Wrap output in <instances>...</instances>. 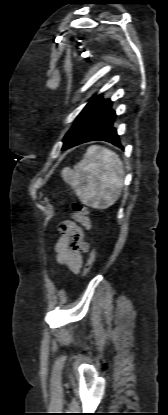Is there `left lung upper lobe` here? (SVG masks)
I'll return each instance as SVG.
<instances>
[{
	"mask_svg": "<svg viewBox=\"0 0 168 415\" xmlns=\"http://www.w3.org/2000/svg\"><path fill=\"white\" fill-rule=\"evenodd\" d=\"M111 101L109 99L102 100L101 95H97L93 97L86 107L82 110V112L77 117L75 123L65 135L63 139V148L62 150H66L71 148L75 141L81 136V134L88 128L91 122L95 119V117L102 112Z\"/></svg>",
	"mask_w": 168,
	"mask_h": 415,
	"instance_id": "left-lung-upper-lobe-1",
	"label": "left lung upper lobe"
}]
</instances>
